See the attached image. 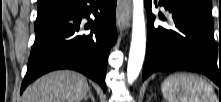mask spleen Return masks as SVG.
Returning a JSON list of instances; mask_svg holds the SVG:
<instances>
[{"label":"spleen","mask_w":221,"mask_h":102,"mask_svg":"<svg viewBox=\"0 0 221 102\" xmlns=\"http://www.w3.org/2000/svg\"><path fill=\"white\" fill-rule=\"evenodd\" d=\"M161 90L167 102H217L212 86L195 74H171Z\"/></svg>","instance_id":"obj_1"}]
</instances>
